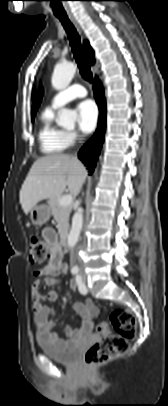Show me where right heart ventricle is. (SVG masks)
<instances>
[{
    "mask_svg": "<svg viewBox=\"0 0 168 406\" xmlns=\"http://www.w3.org/2000/svg\"><path fill=\"white\" fill-rule=\"evenodd\" d=\"M40 121L38 139L41 151L45 154H57L66 150L70 142L67 132L54 124V108H45Z\"/></svg>",
    "mask_w": 168,
    "mask_h": 406,
    "instance_id": "right-heart-ventricle-1",
    "label": "right heart ventricle"
}]
</instances>
